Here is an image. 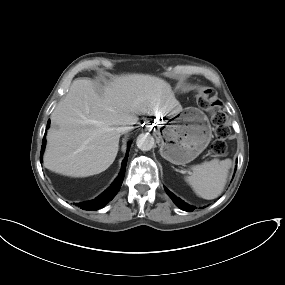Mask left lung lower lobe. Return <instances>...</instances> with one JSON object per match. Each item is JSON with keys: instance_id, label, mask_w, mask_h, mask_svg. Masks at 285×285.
I'll list each match as a JSON object with an SVG mask.
<instances>
[{"instance_id": "0a47b994", "label": "left lung lower lobe", "mask_w": 285, "mask_h": 285, "mask_svg": "<svg viewBox=\"0 0 285 285\" xmlns=\"http://www.w3.org/2000/svg\"><path fill=\"white\" fill-rule=\"evenodd\" d=\"M165 191L167 192V194L171 197V199L173 200V202L182 210L184 211H188V212H192L194 210V208L190 205H188L187 203H185L183 200H181L180 198H177L174 194H172L168 189L165 188Z\"/></svg>"}]
</instances>
